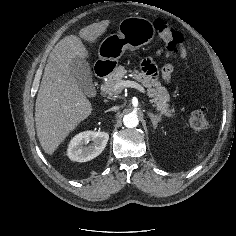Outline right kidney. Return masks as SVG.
<instances>
[{"label": "right kidney", "instance_id": "obj_1", "mask_svg": "<svg viewBox=\"0 0 236 236\" xmlns=\"http://www.w3.org/2000/svg\"><path fill=\"white\" fill-rule=\"evenodd\" d=\"M108 139L109 134L106 132H81L70 141L67 155L72 161H90L101 154L106 147ZM90 141L91 143L87 145Z\"/></svg>", "mask_w": 236, "mask_h": 236}]
</instances>
